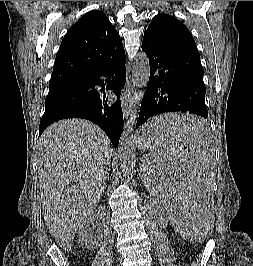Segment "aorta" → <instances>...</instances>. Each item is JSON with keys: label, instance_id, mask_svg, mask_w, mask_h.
I'll use <instances>...</instances> for the list:
<instances>
[{"label": "aorta", "instance_id": "762f6f07", "mask_svg": "<svg viewBox=\"0 0 253 266\" xmlns=\"http://www.w3.org/2000/svg\"><path fill=\"white\" fill-rule=\"evenodd\" d=\"M150 77L149 59L145 52L137 54L136 62L132 69V84L139 88H145ZM136 107L133 108L124 125V130L119 140L118 157L120 170L124 177L130 176L134 170L135 144L133 130L138 117V109L143 98V92H135Z\"/></svg>", "mask_w": 253, "mask_h": 266}]
</instances>
